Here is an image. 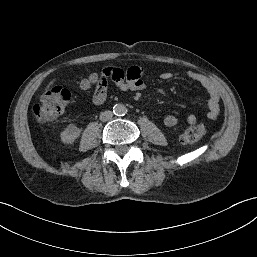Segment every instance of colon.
<instances>
[{
  "mask_svg": "<svg viewBox=\"0 0 257 257\" xmlns=\"http://www.w3.org/2000/svg\"><path fill=\"white\" fill-rule=\"evenodd\" d=\"M92 85L103 88L107 85V80L101 75H93L82 82L84 89L90 88ZM69 100L70 93L67 89L61 86H53L33 106V114L38 121H52L62 114ZM205 134L206 125L199 123L186 128L181 134L180 140L183 144H193L199 141Z\"/></svg>",
  "mask_w": 257,
  "mask_h": 257,
  "instance_id": "obj_1",
  "label": "colon"
}]
</instances>
